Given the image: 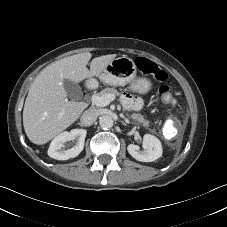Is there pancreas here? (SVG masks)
Returning a JSON list of instances; mask_svg holds the SVG:
<instances>
[{
	"label": "pancreas",
	"mask_w": 227,
	"mask_h": 227,
	"mask_svg": "<svg viewBox=\"0 0 227 227\" xmlns=\"http://www.w3.org/2000/svg\"><path fill=\"white\" fill-rule=\"evenodd\" d=\"M107 94H113L114 96L119 95V92L115 89V88H106L104 90H102L101 92H99L97 95L99 96H104ZM131 118L133 120L138 121L139 123L143 124L144 127L148 128L150 126V122L148 120H146L141 114L139 113H133L131 115ZM153 131V130H152Z\"/></svg>",
	"instance_id": "obj_1"
}]
</instances>
